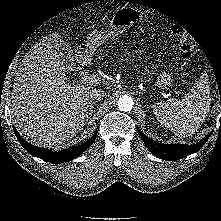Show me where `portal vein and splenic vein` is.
<instances>
[{
    "instance_id": "18ae733b",
    "label": "portal vein and splenic vein",
    "mask_w": 221,
    "mask_h": 221,
    "mask_svg": "<svg viewBox=\"0 0 221 221\" xmlns=\"http://www.w3.org/2000/svg\"><path fill=\"white\" fill-rule=\"evenodd\" d=\"M81 81L83 83H88V84H99L101 82V78L98 75H91V74H82L81 75Z\"/></svg>"
}]
</instances>
